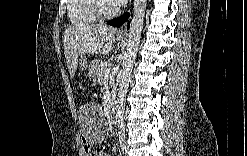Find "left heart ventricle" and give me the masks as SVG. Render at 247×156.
<instances>
[{
  "mask_svg": "<svg viewBox=\"0 0 247 156\" xmlns=\"http://www.w3.org/2000/svg\"><path fill=\"white\" fill-rule=\"evenodd\" d=\"M114 7L112 1H104L102 3V8L104 11H110Z\"/></svg>",
  "mask_w": 247,
  "mask_h": 156,
  "instance_id": "1",
  "label": "left heart ventricle"
}]
</instances>
